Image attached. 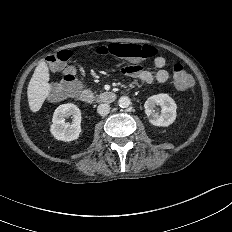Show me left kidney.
Returning a JSON list of instances; mask_svg holds the SVG:
<instances>
[{
    "label": "left kidney",
    "instance_id": "5707ae66",
    "mask_svg": "<svg viewBox=\"0 0 232 232\" xmlns=\"http://www.w3.org/2000/svg\"><path fill=\"white\" fill-rule=\"evenodd\" d=\"M156 105L161 107L160 114L154 110ZM144 108L149 122L154 126L167 127L176 119L177 105L168 94L160 93L149 97L144 104Z\"/></svg>",
    "mask_w": 232,
    "mask_h": 232
}]
</instances>
